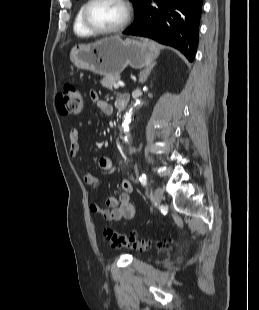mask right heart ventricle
<instances>
[{
	"label": "right heart ventricle",
	"mask_w": 259,
	"mask_h": 310,
	"mask_svg": "<svg viewBox=\"0 0 259 310\" xmlns=\"http://www.w3.org/2000/svg\"><path fill=\"white\" fill-rule=\"evenodd\" d=\"M86 4V2H83L76 14H75V17H74V21H73V30H74V33L79 36V37H89L92 35V33H90L86 28L85 26L83 25V22H82V11H83V7L84 5Z\"/></svg>",
	"instance_id": "right-heart-ventricle-1"
}]
</instances>
